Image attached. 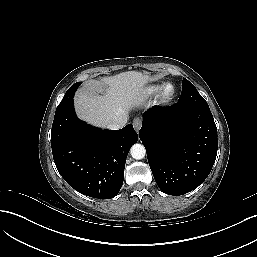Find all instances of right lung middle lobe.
<instances>
[{"label": "right lung middle lobe", "instance_id": "1", "mask_svg": "<svg viewBox=\"0 0 257 257\" xmlns=\"http://www.w3.org/2000/svg\"><path fill=\"white\" fill-rule=\"evenodd\" d=\"M81 82H77L75 84H73L66 92V94L64 95L62 101L60 102V104L58 105L56 111L60 110L61 108L67 106L68 104L73 102V96H74V92L76 91L77 87L80 85Z\"/></svg>", "mask_w": 257, "mask_h": 257}]
</instances>
